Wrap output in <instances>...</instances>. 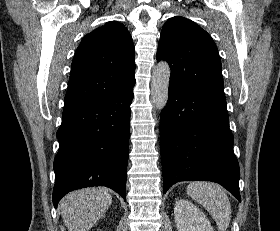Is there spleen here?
<instances>
[{
    "label": "spleen",
    "instance_id": "3e777b00",
    "mask_svg": "<svg viewBox=\"0 0 280 231\" xmlns=\"http://www.w3.org/2000/svg\"><path fill=\"white\" fill-rule=\"evenodd\" d=\"M186 191L206 207L215 219L219 231H226L231 219V205L223 187L208 181H193L187 185Z\"/></svg>",
    "mask_w": 280,
    "mask_h": 231
}]
</instances>
